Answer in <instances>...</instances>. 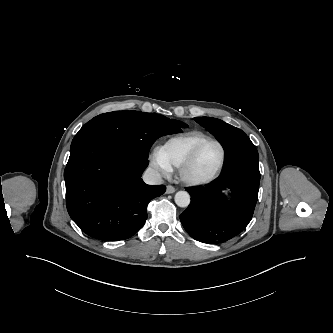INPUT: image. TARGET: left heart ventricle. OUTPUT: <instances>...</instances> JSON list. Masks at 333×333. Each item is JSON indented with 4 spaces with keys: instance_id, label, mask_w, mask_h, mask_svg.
<instances>
[{
    "instance_id": "b2bd125f",
    "label": "left heart ventricle",
    "mask_w": 333,
    "mask_h": 333,
    "mask_svg": "<svg viewBox=\"0 0 333 333\" xmlns=\"http://www.w3.org/2000/svg\"><path fill=\"white\" fill-rule=\"evenodd\" d=\"M220 155V148L216 144L209 143L205 145L200 150L193 166L191 167L190 174L196 178L207 176L218 164Z\"/></svg>"
}]
</instances>
